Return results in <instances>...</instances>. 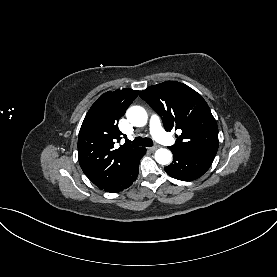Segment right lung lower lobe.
<instances>
[{"instance_id": "obj_1", "label": "right lung lower lobe", "mask_w": 277, "mask_h": 277, "mask_svg": "<svg viewBox=\"0 0 277 277\" xmlns=\"http://www.w3.org/2000/svg\"><path fill=\"white\" fill-rule=\"evenodd\" d=\"M145 153L146 149L141 148L133 162L123 171V173L119 177H117L111 184H109L103 190L110 193H116L122 191L125 188L130 187L138 176L139 160Z\"/></svg>"}]
</instances>
